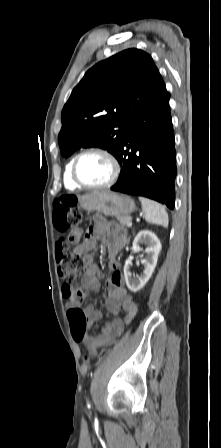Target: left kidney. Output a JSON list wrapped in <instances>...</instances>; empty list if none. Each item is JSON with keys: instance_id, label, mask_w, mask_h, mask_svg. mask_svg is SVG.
<instances>
[{"instance_id": "1", "label": "left kidney", "mask_w": 221, "mask_h": 448, "mask_svg": "<svg viewBox=\"0 0 221 448\" xmlns=\"http://www.w3.org/2000/svg\"><path fill=\"white\" fill-rule=\"evenodd\" d=\"M140 243L147 244V248L145 252L147 254L146 259L142 261L144 264V271L137 280H133L131 277L129 264L124 266V276L128 289L132 292H137L148 282L150 277L152 276L154 269L157 264L158 255L161 250V243L158 237L151 231L142 230L140 231L133 241V249L139 247Z\"/></svg>"}]
</instances>
